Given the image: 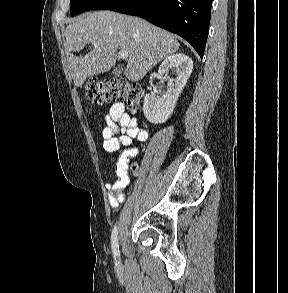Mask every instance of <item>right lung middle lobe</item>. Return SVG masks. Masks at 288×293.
Instances as JSON below:
<instances>
[{"instance_id":"1","label":"right lung middle lobe","mask_w":288,"mask_h":293,"mask_svg":"<svg viewBox=\"0 0 288 293\" xmlns=\"http://www.w3.org/2000/svg\"><path fill=\"white\" fill-rule=\"evenodd\" d=\"M122 0H70V14L75 15L85 10H107Z\"/></svg>"}]
</instances>
